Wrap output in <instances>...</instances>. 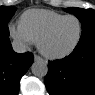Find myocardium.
<instances>
[{"label": "myocardium", "mask_w": 95, "mask_h": 95, "mask_svg": "<svg viewBox=\"0 0 95 95\" xmlns=\"http://www.w3.org/2000/svg\"><path fill=\"white\" fill-rule=\"evenodd\" d=\"M69 18H74L79 23V34H78L76 42L73 44V46L71 48H69L68 50H66L64 52H61V53H50V52L46 51L45 48H44V42H45V40L53 33V31L63 21H65L66 19H69ZM83 33H84V26H83L82 20L78 16H76L74 14H68V15L63 16L62 18H60L59 20H57L53 24H51L42 33V35L40 36L39 40L37 41V47H38L40 53L42 55H44L45 57L49 58V59H62V58H65V57L69 56L70 54H72L77 49V47L79 46V44H80V42L82 40Z\"/></svg>", "instance_id": "1"}]
</instances>
